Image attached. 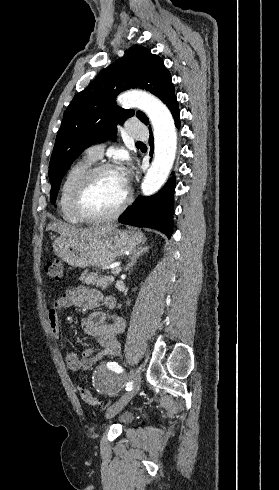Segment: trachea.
Wrapping results in <instances>:
<instances>
[{
    "label": "trachea",
    "instance_id": "trachea-1",
    "mask_svg": "<svg viewBox=\"0 0 279 490\" xmlns=\"http://www.w3.org/2000/svg\"><path fill=\"white\" fill-rule=\"evenodd\" d=\"M138 144H142V142H137Z\"/></svg>",
    "mask_w": 279,
    "mask_h": 490
}]
</instances>
